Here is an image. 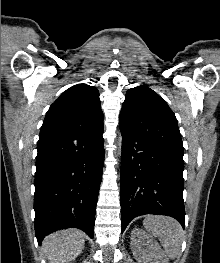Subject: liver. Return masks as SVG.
I'll return each mask as SVG.
<instances>
[{"label":"liver","mask_w":220,"mask_h":263,"mask_svg":"<svg viewBox=\"0 0 220 263\" xmlns=\"http://www.w3.org/2000/svg\"><path fill=\"white\" fill-rule=\"evenodd\" d=\"M85 235L78 229H67L48 235L43 241V252L49 263H68L81 254Z\"/></svg>","instance_id":"1"}]
</instances>
